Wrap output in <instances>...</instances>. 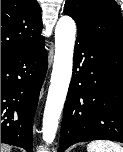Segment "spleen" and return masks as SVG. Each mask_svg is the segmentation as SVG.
Segmentation results:
<instances>
[{"label": "spleen", "mask_w": 123, "mask_h": 152, "mask_svg": "<svg viewBox=\"0 0 123 152\" xmlns=\"http://www.w3.org/2000/svg\"><path fill=\"white\" fill-rule=\"evenodd\" d=\"M88 152H123V147L112 141H92L87 145Z\"/></svg>", "instance_id": "1"}]
</instances>
